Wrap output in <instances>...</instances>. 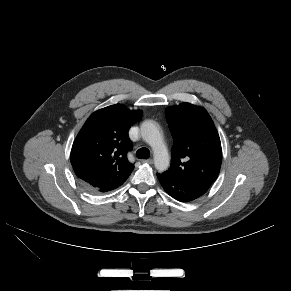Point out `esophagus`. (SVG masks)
<instances>
[{
    "label": "esophagus",
    "mask_w": 291,
    "mask_h": 291,
    "mask_svg": "<svg viewBox=\"0 0 291 291\" xmlns=\"http://www.w3.org/2000/svg\"><path fill=\"white\" fill-rule=\"evenodd\" d=\"M142 162L147 164H153V159L143 160Z\"/></svg>",
    "instance_id": "1"
}]
</instances>
